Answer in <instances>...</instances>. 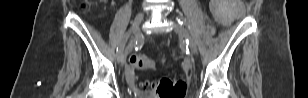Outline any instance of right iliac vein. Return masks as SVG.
Wrapping results in <instances>:
<instances>
[{
    "instance_id": "obj_1",
    "label": "right iliac vein",
    "mask_w": 308,
    "mask_h": 98,
    "mask_svg": "<svg viewBox=\"0 0 308 98\" xmlns=\"http://www.w3.org/2000/svg\"><path fill=\"white\" fill-rule=\"evenodd\" d=\"M144 19V12H140L134 20L132 29H131V37L129 40V43L125 49V51H123L121 54H117V59L118 62L123 66L126 62V56L128 54V52L130 51V49L132 48L133 44H134V40L135 38L138 36L139 34V26L141 24V22Z\"/></svg>"
}]
</instances>
